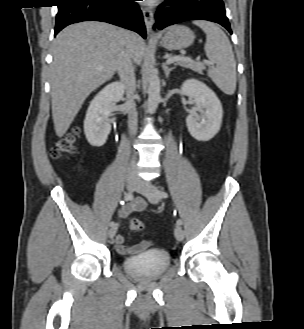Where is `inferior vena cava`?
I'll use <instances>...</instances> for the list:
<instances>
[{"instance_id":"602c4592","label":"inferior vena cava","mask_w":304,"mask_h":329,"mask_svg":"<svg viewBox=\"0 0 304 329\" xmlns=\"http://www.w3.org/2000/svg\"><path fill=\"white\" fill-rule=\"evenodd\" d=\"M117 71L124 90L126 91L125 109L128 112L129 133L132 136L135 135L137 131V113L133 100V95L136 89V79L132 64V56L127 42L125 43V49L121 53ZM129 175L138 178L135 157H133L129 165Z\"/></svg>"}]
</instances>
